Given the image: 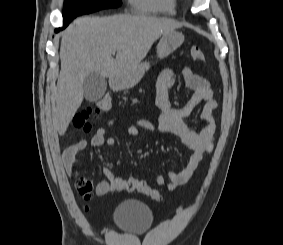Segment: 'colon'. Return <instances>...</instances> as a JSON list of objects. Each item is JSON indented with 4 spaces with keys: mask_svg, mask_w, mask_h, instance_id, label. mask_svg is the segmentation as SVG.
I'll use <instances>...</instances> for the list:
<instances>
[{
    "mask_svg": "<svg viewBox=\"0 0 283 245\" xmlns=\"http://www.w3.org/2000/svg\"><path fill=\"white\" fill-rule=\"evenodd\" d=\"M190 55L193 60L205 61V56L202 50L198 46H192L190 48ZM112 105V99L109 95L104 96L92 106L78 113L73 119V125L76 129L88 132L91 129L92 120L95 119L100 113L110 110ZM76 188L79 194L84 199H90L93 192V185L91 181L83 176H78L76 179ZM111 189L113 191H137L145 196L151 198L154 201H161L162 196L158 190L149 186L145 181L136 178H121L116 177L111 183Z\"/></svg>",
    "mask_w": 283,
    "mask_h": 245,
    "instance_id": "1",
    "label": "colon"
}]
</instances>
